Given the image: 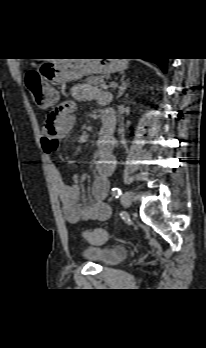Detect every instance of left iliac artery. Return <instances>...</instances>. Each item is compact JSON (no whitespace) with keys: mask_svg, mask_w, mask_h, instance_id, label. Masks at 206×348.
I'll return each mask as SVG.
<instances>
[{"mask_svg":"<svg viewBox=\"0 0 206 348\" xmlns=\"http://www.w3.org/2000/svg\"><path fill=\"white\" fill-rule=\"evenodd\" d=\"M120 195H121V189L119 187H114L112 189V196L114 198H119Z\"/></svg>","mask_w":206,"mask_h":348,"instance_id":"44dca946","label":"left iliac artery"}]
</instances>
